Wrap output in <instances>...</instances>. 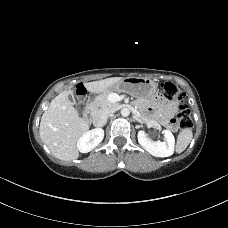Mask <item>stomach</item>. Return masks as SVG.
<instances>
[{
  "instance_id": "stomach-1",
  "label": "stomach",
  "mask_w": 228,
  "mask_h": 228,
  "mask_svg": "<svg viewBox=\"0 0 228 228\" xmlns=\"http://www.w3.org/2000/svg\"><path fill=\"white\" fill-rule=\"evenodd\" d=\"M157 83L145 77H126L106 89L103 93L108 94L112 91L124 92L134 97L147 98L152 96L157 90Z\"/></svg>"
}]
</instances>
